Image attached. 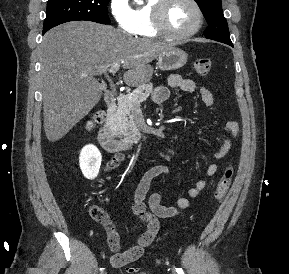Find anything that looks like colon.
Returning a JSON list of instances; mask_svg holds the SVG:
<instances>
[{
	"label": "colon",
	"instance_id": "colon-1",
	"mask_svg": "<svg viewBox=\"0 0 289 274\" xmlns=\"http://www.w3.org/2000/svg\"><path fill=\"white\" fill-rule=\"evenodd\" d=\"M194 68L199 75L207 76L212 68V60L208 57L197 58L194 61ZM102 119L103 113L101 111H98L88 121L87 126L90 128L94 126L96 123H99ZM233 175H234V168L231 164H229L224 169L223 174L219 179L215 189L214 197L217 201H221L227 194L233 179ZM91 215L96 221L105 224L109 228V232H114L112 228V223L108 215L100 207L93 206L91 208ZM127 270L129 272H137L139 268L136 266H129Z\"/></svg>",
	"mask_w": 289,
	"mask_h": 274
}]
</instances>
